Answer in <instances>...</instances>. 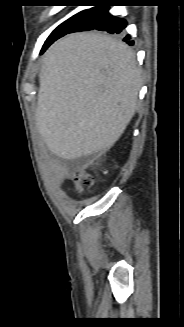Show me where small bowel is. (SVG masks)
<instances>
[{"label":"small bowel","mask_w":184,"mask_h":327,"mask_svg":"<svg viewBox=\"0 0 184 327\" xmlns=\"http://www.w3.org/2000/svg\"><path fill=\"white\" fill-rule=\"evenodd\" d=\"M54 178L62 183L74 172L75 167L71 164L55 163L52 166Z\"/></svg>","instance_id":"obj_1"}]
</instances>
